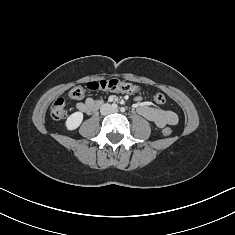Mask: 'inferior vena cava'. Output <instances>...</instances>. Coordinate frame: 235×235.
Instances as JSON below:
<instances>
[{"label":"inferior vena cava","instance_id":"602c4592","mask_svg":"<svg viewBox=\"0 0 235 235\" xmlns=\"http://www.w3.org/2000/svg\"><path fill=\"white\" fill-rule=\"evenodd\" d=\"M100 112L102 115H106L113 112V109L111 108L110 105H103L100 109Z\"/></svg>","mask_w":235,"mask_h":235}]
</instances>
